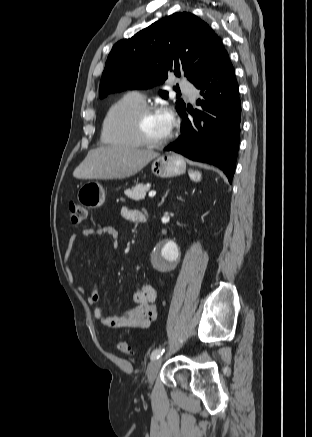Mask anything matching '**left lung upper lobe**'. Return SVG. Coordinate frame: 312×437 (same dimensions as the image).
I'll list each match as a JSON object with an SVG mask.
<instances>
[{
	"mask_svg": "<svg viewBox=\"0 0 312 437\" xmlns=\"http://www.w3.org/2000/svg\"><path fill=\"white\" fill-rule=\"evenodd\" d=\"M225 51L220 38L201 19L187 12L156 21L130 39L117 42L105 64L99 97L126 89L163 83L168 73L202 81ZM167 98V92H161ZM177 111L185 110L183 100Z\"/></svg>",
	"mask_w": 312,
	"mask_h": 437,
	"instance_id": "5c2ea615",
	"label": "left lung upper lobe"
}]
</instances>
